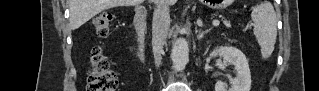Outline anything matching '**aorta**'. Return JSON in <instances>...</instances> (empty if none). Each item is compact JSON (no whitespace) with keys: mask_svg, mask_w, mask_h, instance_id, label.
<instances>
[{"mask_svg":"<svg viewBox=\"0 0 319 91\" xmlns=\"http://www.w3.org/2000/svg\"><path fill=\"white\" fill-rule=\"evenodd\" d=\"M189 60V47L184 38L175 41L172 49L173 67L176 71H182Z\"/></svg>","mask_w":319,"mask_h":91,"instance_id":"762f6f07","label":"aorta"}]
</instances>
